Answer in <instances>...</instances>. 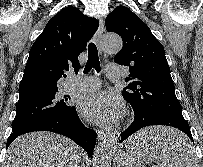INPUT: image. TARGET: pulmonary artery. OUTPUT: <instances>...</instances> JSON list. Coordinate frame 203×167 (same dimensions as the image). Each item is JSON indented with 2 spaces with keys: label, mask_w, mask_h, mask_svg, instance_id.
Instances as JSON below:
<instances>
[{
  "label": "pulmonary artery",
  "mask_w": 203,
  "mask_h": 167,
  "mask_svg": "<svg viewBox=\"0 0 203 167\" xmlns=\"http://www.w3.org/2000/svg\"><path fill=\"white\" fill-rule=\"evenodd\" d=\"M106 75L109 78H118L122 75V67L117 64H108L106 66ZM100 86V81L93 76H71L67 89L70 91L94 90Z\"/></svg>",
  "instance_id": "1"
}]
</instances>
